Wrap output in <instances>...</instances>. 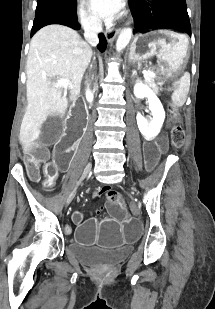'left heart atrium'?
Wrapping results in <instances>:
<instances>
[{
	"mask_svg": "<svg viewBox=\"0 0 215 309\" xmlns=\"http://www.w3.org/2000/svg\"><path fill=\"white\" fill-rule=\"evenodd\" d=\"M88 2L104 21L112 19L121 12V0H88Z\"/></svg>",
	"mask_w": 215,
	"mask_h": 309,
	"instance_id": "obj_1",
	"label": "left heart atrium"
}]
</instances>
